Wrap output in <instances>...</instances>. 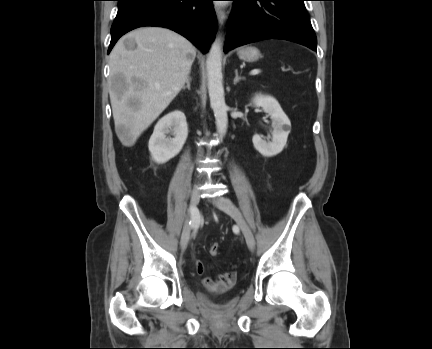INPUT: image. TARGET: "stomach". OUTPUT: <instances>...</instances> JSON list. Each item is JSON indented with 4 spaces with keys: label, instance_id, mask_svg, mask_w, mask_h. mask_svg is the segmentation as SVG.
<instances>
[{
    "label": "stomach",
    "instance_id": "stomach-1",
    "mask_svg": "<svg viewBox=\"0 0 432 349\" xmlns=\"http://www.w3.org/2000/svg\"><path fill=\"white\" fill-rule=\"evenodd\" d=\"M237 55L241 60L246 62H255L261 57L259 49L253 46L239 48Z\"/></svg>",
    "mask_w": 432,
    "mask_h": 349
}]
</instances>
